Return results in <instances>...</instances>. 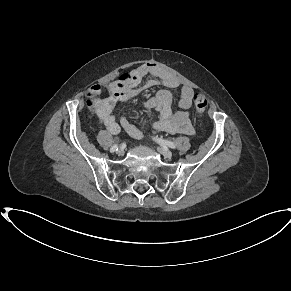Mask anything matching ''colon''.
Masks as SVG:
<instances>
[{
    "label": "colon",
    "mask_w": 291,
    "mask_h": 291,
    "mask_svg": "<svg viewBox=\"0 0 291 291\" xmlns=\"http://www.w3.org/2000/svg\"><path fill=\"white\" fill-rule=\"evenodd\" d=\"M193 102H194V107L199 114H202L205 112L208 106V101L203 94L199 92L195 93L193 95ZM87 105L92 106V102L88 100Z\"/></svg>",
    "instance_id": "colon-1"
}]
</instances>
